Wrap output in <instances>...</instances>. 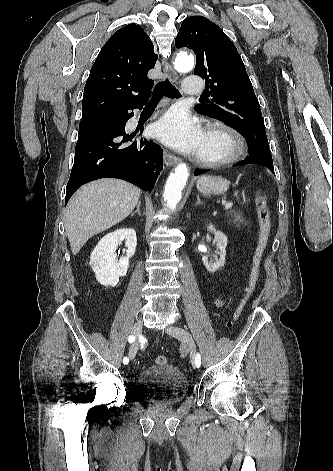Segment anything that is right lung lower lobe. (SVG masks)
I'll list each match as a JSON object with an SVG mask.
<instances>
[{
	"instance_id": "1",
	"label": "right lung lower lobe",
	"mask_w": 333,
	"mask_h": 471,
	"mask_svg": "<svg viewBox=\"0 0 333 471\" xmlns=\"http://www.w3.org/2000/svg\"><path fill=\"white\" fill-rule=\"evenodd\" d=\"M147 99L80 122L65 205L80 186L103 177L123 179L143 190L154 188L162 169V148L146 139L136 141L137 131H125L134 115L129 110L142 109Z\"/></svg>"
}]
</instances>
